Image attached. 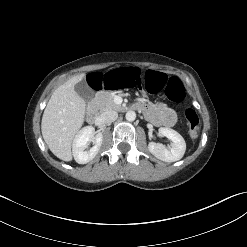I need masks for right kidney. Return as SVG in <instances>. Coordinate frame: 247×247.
Instances as JSON below:
<instances>
[{
    "label": "right kidney",
    "instance_id": "right-kidney-1",
    "mask_svg": "<svg viewBox=\"0 0 247 247\" xmlns=\"http://www.w3.org/2000/svg\"><path fill=\"white\" fill-rule=\"evenodd\" d=\"M102 140V133L95 134V129L92 126H86L81 129L75 136L72 145L75 161L79 164H86L93 160L102 145ZM90 141L94 143V146L90 150L85 151Z\"/></svg>",
    "mask_w": 247,
    "mask_h": 247
}]
</instances>
